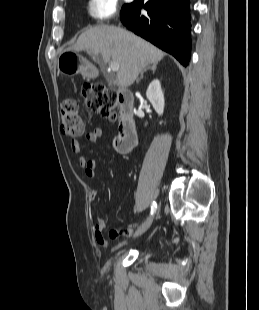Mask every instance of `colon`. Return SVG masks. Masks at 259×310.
I'll list each match as a JSON object with an SVG mask.
<instances>
[{
  "mask_svg": "<svg viewBox=\"0 0 259 310\" xmlns=\"http://www.w3.org/2000/svg\"><path fill=\"white\" fill-rule=\"evenodd\" d=\"M80 94L92 112L111 122L116 121L117 116L113 110L118 103V97L114 90L103 84H88L81 88ZM60 119L62 130L66 135L79 138L84 134V124L75 98L67 97L63 100Z\"/></svg>",
  "mask_w": 259,
  "mask_h": 310,
  "instance_id": "5ec220e1",
  "label": "colon"
}]
</instances>
